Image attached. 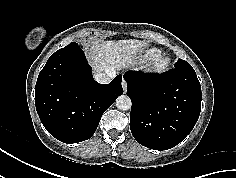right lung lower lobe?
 <instances>
[{
    "label": "right lung lower lobe",
    "mask_w": 236,
    "mask_h": 178,
    "mask_svg": "<svg viewBox=\"0 0 236 178\" xmlns=\"http://www.w3.org/2000/svg\"><path fill=\"white\" fill-rule=\"evenodd\" d=\"M122 75L109 84L92 76L78 44L59 49L41 70L35 87V105L45 129L64 143L92 137L104 111L123 94Z\"/></svg>",
    "instance_id": "1"
}]
</instances>
